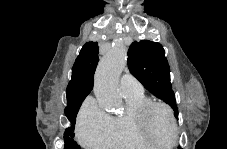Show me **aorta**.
Wrapping results in <instances>:
<instances>
[{"instance_id": "aorta-1", "label": "aorta", "mask_w": 227, "mask_h": 149, "mask_svg": "<svg viewBox=\"0 0 227 149\" xmlns=\"http://www.w3.org/2000/svg\"><path fill=\"white\" fill-rule=\"evenodd\" d=\"M127 63V51L123 44H115L100 61L94 83V94L99 106L109 112L120 107L119 76Z\"/></svg>"}]
</instances>
